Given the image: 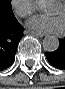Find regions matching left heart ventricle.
<instances>
[{"label":"left heart ventricle","mask_w":65,"mask_h":89,"mask_svg":"<svg viewBox=\"0 0 65 89\" xmlns=\"http://www.w3.org/2000/svg\"><path fill=\"white\" fill-rule=\"evenodd\" d=\"M54 15H60L65 18V11L61 4H57L56 7L51 11Z\"/></svg>","instance_id":"left-heart-ventricle-1"}]
</instances>
